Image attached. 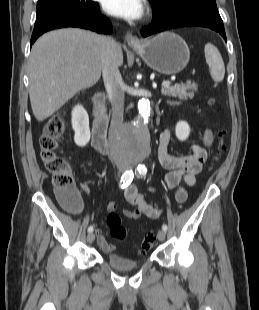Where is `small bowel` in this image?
<instances>
[{
    "label": "small bowel",
    "mask_w": 259,
    "mask_h": 310,
    "mask_svg": "<svg viewBox=\"0 0 259 310\" xmlns=\"http://www.w3.org/2000/svg\"><path fill=\"white\" fill-rule=\"evenodd\" d=\"M171 133L165 130L161 133L159 146L157 150L158 160L160 164L168 170V173L160 182V186L164 190L176 189L175 200L182 204L187 199V191L184 186H193L196 183V176L201 172L202 167L207 159L206 148L210 147L214 142L213 132L206 128L203 132V145L193 144L191 153L185 156H174L168 152ZM155 191L157 186L149 187ZM84 190L88 192V188L84 186ZM124 197L131 208L123 211L124 215L129 219H138L141 216H146L150 219H157L161 214V209L151 205L145 197L139 193L134 184H129L124 188ZM117 204L109 202L107 210L115 211ZM96 241L100 249L105 253H113L115 245L105 238L100 229H96Z\"/></svg>",
    "instance_id": "c3829d8e"
}]
</instances>
